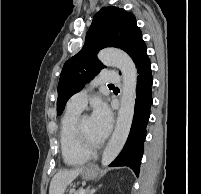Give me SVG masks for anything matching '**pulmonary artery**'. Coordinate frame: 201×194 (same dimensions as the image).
Returning a JSON list of instances; mask_svg holds the SVG:
<instances>
[{"instance_id":"1","label":"pulmonary artery","mask_w":201,"mask_h":194,"mask_svg":"<svg viewBox=\"0 0 201 194\" xmlns=\"http://www.w3.org/2000/svg\"><path fill=\"white\" fill-rule=\"evenodd\" d=\"M121 80L118 73L114 71L102 72L94 81L93 84H113L119 83ZM88 100V89H83L78 93L74 94L68 101L67 106L78 110H83Z\"/></svg>"}]
</instances>
